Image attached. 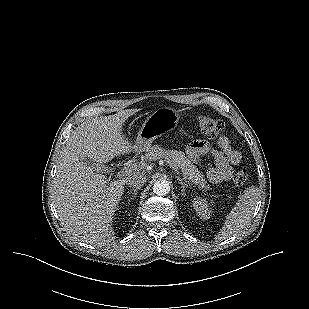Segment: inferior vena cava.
I'll return each mask as SVG.
<instances>
[{
	"mask_svg": "<svg viewBox=\"0 0 309 309\" xmlns=\"http://www.w3.org/2000/svg\"><path fill=\"white\" fill-rule=\"evenodd\" d=\"M147 181L146 175L139 171H134L129 176L126 177L125 183L129 187L141 188Z\"/></svg>",
	"mask_w": 309,
	"mask_h": 309,
	"instance_id": "602c4592",
	"label": "inferior vena cava"
}]
</instances>
